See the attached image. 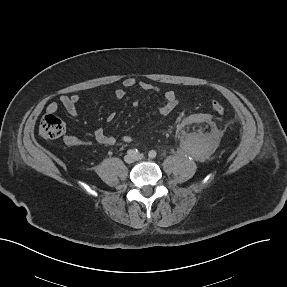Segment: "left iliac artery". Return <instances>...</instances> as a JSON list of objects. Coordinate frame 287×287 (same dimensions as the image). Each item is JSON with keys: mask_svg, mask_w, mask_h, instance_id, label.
I'll list each match as a JSON object with an SVG mask.
<instances>
[{"mask_svg": "<svg viewBox=\"0 0 287 287\" xmlns=\"http://www.w3.org/2000/svg\"><path fill=\"white\" fill-rule=\"evenodd\" d=\"M156 155H157V153H156V151H154V150H151V151L148 153V156H149L150 158H155Z\"/></svg>", "mask_w": 287, "mask_h": 287, "instance_id": "left-iliac-artery-1", "label": "left iliac artery"}]
</instances>
